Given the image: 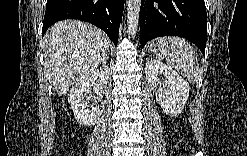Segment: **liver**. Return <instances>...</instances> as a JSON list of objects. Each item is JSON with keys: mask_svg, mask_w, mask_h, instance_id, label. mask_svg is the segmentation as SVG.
Here are the masks:
<instances>
[{"mask_svg": "<svg viewBox=\"0 0 247 156\" xmlns=\"http://www.w3.org/2000/svg\"><path fill=\"white\" fill-rule=\"evenodd\" d=\"M110 41L99 28L65 20L52 25L43 38L45 73L62 96L71 85L85 78L107 55Z\"/></svg>", "mask_w": 247, "mask_h": 156, "instance_id": "1", "label": "liver"}]
</instances>
